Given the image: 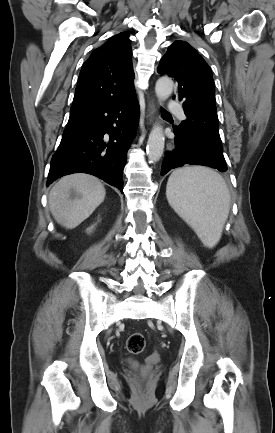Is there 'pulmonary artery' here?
<instances>
[{"mask_svg":"<svg viewBox=\"0 0 275 433\" xmlns=\"http://www.w3.org/2000/svg\"><path fill=\"white\" fill-rule=\"evenodd\" d=\"M167 111L170 112V113L177 114L180 119H184L185 118V115L181 111L180 104H178L176 102H173V101L169 102L168 106H167Z\"/></svg>","mask_w":275,"mask_h":433,"instance_id":"e3ab8cb5","label":"pulmonary artery"}]
</instances>
